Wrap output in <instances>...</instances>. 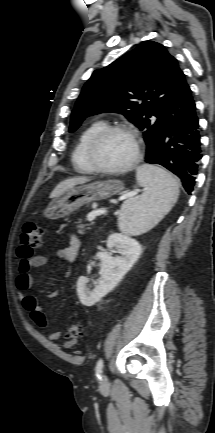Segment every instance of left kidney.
Segmentation results:
<instances>
[{
  "label": "left kidney",
  "instance_id": "1",
  "mask_svg": "<svg viewBox=\"0 0 215 433\" xmlns=\"http://www.w3.org/2000/svg\"><path fill=\"white\" fill-rule=\"evenodd\" d=\"M107 248H116L122 257L112 258L107 252H98L100 259L101 280L93 290L86 287L88 279L79 277L77 294L80 302L85 306H92L108 294L131 269L142 253V246L137 240L127 234L113 233L107 240Z\"/></svg>",
  "mask_w": 215,
  "mask_h": 433
}]
</instances>
